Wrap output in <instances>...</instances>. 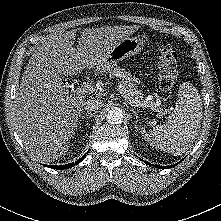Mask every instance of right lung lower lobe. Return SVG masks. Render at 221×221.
Listing matches in <instances>:
<instances>
[{"mask_svg": "<svg viewBox=\"0 0 221 221\" xmlns=\"http://www.w3.org/2000/svg\"><path fill=\"white\" fill-rule=\"evenodd\" d=\"M85 156H83L82 158H80L79 160H77L73 163H69V164H65V165H57V166L44 165V166L49 167V168H54V169H67V168L73 167L74 165H77L78 163H80L85 158Z\"/></svg>", "mask_w": 221, "mask_h": 221, "instance_id": "obj_1", "label": "right lung lower lobe"}]
</instances>
